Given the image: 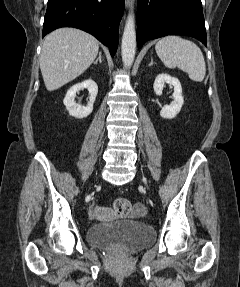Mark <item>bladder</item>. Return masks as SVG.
Segmentation results:
<instances>
[{"mask_svg":"<svg viewBox=\"0 0 240 287\" xmlns=\"http://www.w3.org/2000/svg\"><path fill=\"white\" fill-rule=\"evenodd\" d=\"M87 240L98 247L108 248L118 245L129 252H134L152 244L155 232L143 223L121 219L93 225L88 230Z\"/></svg>","mask_w":240,"mask_h":287,"instance_id":"bladder-1","label":"bladder"}]
</instances>
